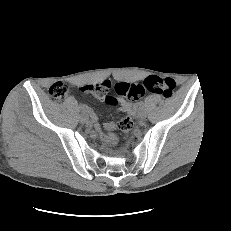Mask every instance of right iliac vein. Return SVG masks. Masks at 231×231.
Listing matches in <instances>:
<instances>
[{"mask_svg": "<svg viewBox=\"0 0 231 231\" xmlns=\"http://www.w3.org/2000/svg\"><path fill=\"white\" fill-rule=\"evenodd\" d=\"M80 118H81V121L84 123H87L89 121V116L86 112H82Z\"/></svg>", "mask_w": 231, "mask_h": 231, "instance_id": "obj_1", "label": "right iliac vein"}]
</instances>
